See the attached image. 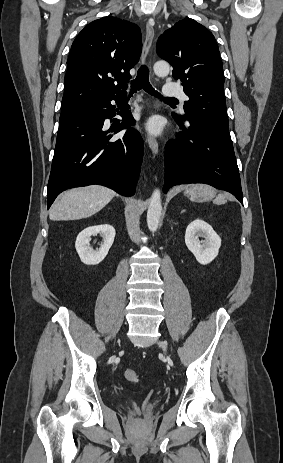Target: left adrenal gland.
I'll list each match as a JSON object with an SVG mask.
<instances>
[{
	"instance_id": "a2214340",
	"label": "left adrenal gland",
	"mask_w": 283,
	"mask_h": 463,
	"mask_svg": "<svg viewBox=\"0 0 283 463\" xmlns=\"http://www.w3.org/2000/svg\"><path fill=\"white\" fill-rule=\"evenodd\" d=\"M184 212H185V209H183V210L181 211V213H184Z\"/></svg>"
}]
</instances>
